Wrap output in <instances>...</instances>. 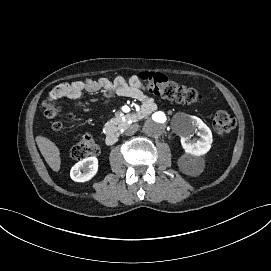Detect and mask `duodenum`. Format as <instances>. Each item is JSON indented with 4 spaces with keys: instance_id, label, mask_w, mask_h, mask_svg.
<instances>
[{
    "instance_id": "410a0bca",
    "label": "duodenum",
    "mask_w": 271,
    "mask_h": 271,
    "mask_svg": "<svg viewBox=\"0 0 271 271\" xmlns=\"http://www.w3.org/2000/svg\"><path fill=\"white\" fill-rule=\"evenodd\" d=\"M147 110L141 109L140 111L136 112L133 116L134 121L140 120L143 116H145ZM118 141V136L116 133H108L105 139V142L108 146H113Z\"/></svg>"
}]
</instances>
